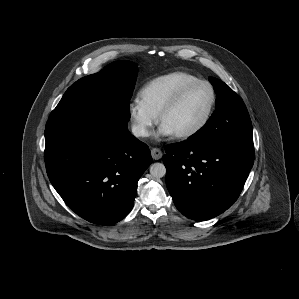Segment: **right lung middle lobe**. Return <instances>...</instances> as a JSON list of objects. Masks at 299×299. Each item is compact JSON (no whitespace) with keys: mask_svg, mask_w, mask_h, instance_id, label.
<instances>
[{"mask_svg":"<svg viewBox=\"0 0 299 299\" xmlns=\"http://www.w3.org/2000/svg\"><path fill=\"white\" fill-rule=\"evenodd\" d=\"M136 77L137 66L134 63L124 60L113 62L100 72L71 85L48 120H72L97 111H111L129 120Z\"/></svg>","mask_w":299,"mask_h":299,"instance_id":"obj_1","label":"right lung middle lobe"}]
</instances>
